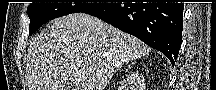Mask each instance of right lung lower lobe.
Returning a JSON list of instances; mask_svg holds the SVG:
<instances>
[{"instance_id": "right-lung-lower-lobe-1", "label": "right lung lower lobe", "mask_w": 216, "mask_h": 90, "mask_svg": "<svg viewBox=\"0 0 216 90\" xmlns=\"http://www.w3.org/2000/svg\"><path fill=\"white\" fill-rule=\"evenodd\" d=\"M183 9L184 3H105L83 13L136 36L175 63L182 42Z\"/></svg>"}]
</instances>
